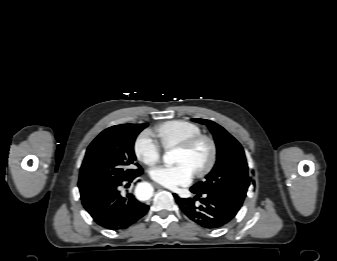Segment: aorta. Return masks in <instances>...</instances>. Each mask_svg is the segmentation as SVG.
<instances>
[{
    "label": "aorta",
    "instance_id": "1",
    "mask_svg": "<svg viewBox=\"0 0 337 261\" xmlns=\"http://www.w3.org/2000/svg\"><path fill=\"white\" fill-rule=\"evenodd\" d=\"M163 161L166 164H173L175 162L174 151H168L163 156ZM153 187L147 183H139L135 188V195L139 200H148L152 197Z\"/></svg>",
    "mask_w": 337,
    "mask_h": 261
}]
</instances>
